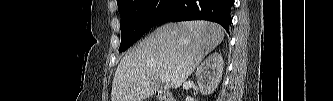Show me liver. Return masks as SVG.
I'll list each match as a JSON object with an SVG mask.
<instances>
[{"label": "liver", "mask_w": 333, "mask_h": 101, "mask_svg": "<svg viewBox=\"0 0 333 101\" xmlns=\"http://www.w3.org/2000/svg\"><path fill=\"white\" fill-rule=\"evenodd\" d=\"M223 39L224 29L208 21L157 28L120 61L111 101H144L159 90L162 75H168L170 87L177 89Z\"/></svg>", "instance_id": "obj_1"}]
</instances>
